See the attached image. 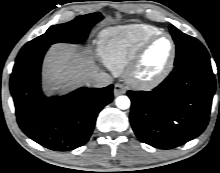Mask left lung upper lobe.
Instances as JSON below:
<instances>
[{
    "mask_svg": "<svg viewBox=\"0 0 220 173\" xmlns=\"http://www.w3.org/2000/svg\"><path fill=\"white\" fill-rule=\"evenodd\" d=\"M170 32L176 44L175 67L195 61H209L207 50L197 39L182 33L172 25H170Z\"/></svg>",
    "mask_w": 220,
    "mask_h": 173,
    "instance_id": "left-lung-upper-lobe-1",
    "label": "left lung upper lobe"
}]
</instances>
